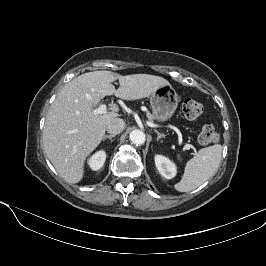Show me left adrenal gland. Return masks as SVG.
I'll return each instance as SVG.
<instances>
[{
    "mask_svg": "<svg viewBox=\"0 0 266 266\" xmlns=\"http://www.w3.org/2000/svg\"><path fill=\"white\" fill-rule=\"evenodd\" d=\"M155 132L157 133V141H159L161 138H164L165 135L164 134H161L160 132H158L157 130H155Z\"/></svg>",
    "mask_w": 266,
    "mask_h": 266,
    "instance_id": "obj_1",
    "label": "left adrenal gland"
}]
</instances>
